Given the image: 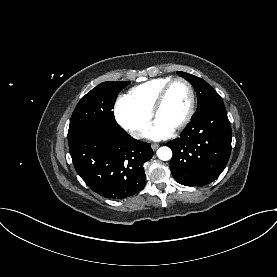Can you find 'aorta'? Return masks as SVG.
<instances>
[{
    "mask_svg": "<svg viewBox=\"0 0 277 277\" xmlns=\"http://www.w3.org/2000/svg\"><path fill=\"white\" fill-rule=\"evenodd\" d=\"M157 156L163 161L170 160L172 157V150L167 146L160 147L157 150Z\"/></svg>",
    "mask_w": 277,
    "mask_h": 277,
    "instance_id": "762f6f07",
    "label": "aorta"
}]
</instances>
